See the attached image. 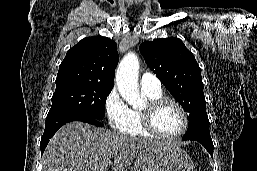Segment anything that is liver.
I'll list each match as a JSON object with an SVG mask.
<instances>
[{"label": "liver", "instance_id": "1", "mask_svg": "<svg viewBox=\"0 0 257 171\" xmlns=\"http://www.w3.org/2000/svg\"><path fill=\"white\" fill-rule=\"evenodd\" d=\"M156 143L160 142L70 122L50 140L43 171H106L112 156L111 171H128L137 153Z\"/></svg>", "mask_w": 257, "mask_h": 171}]
</instances>
